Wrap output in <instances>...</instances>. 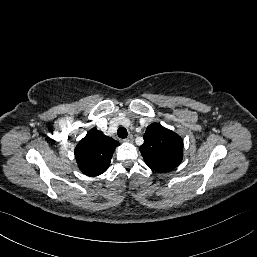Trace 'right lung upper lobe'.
Here are the masks:
<instances>
[{"instance_id":"cb5924a9","label":"right lung upper lobe","mask_w":257,"mask_h":257,"mask_svg":"<svg viewBox=\"0 0 257 257\" xmlns=\"http://www.w3.org/2000/svg\"><path fill=\"white\" fill-rule=\"evenodd\" d=\"M118 145L116 140L92 128L74 150L79 169L90 177L101 175L108 169Z\"/></svg>"}]
</instances>
